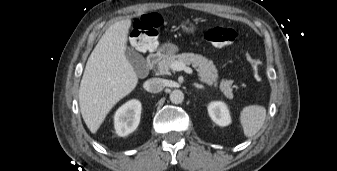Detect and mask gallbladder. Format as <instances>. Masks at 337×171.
<instances>
[{
    "label": "gallbladder",
    "mask_w": 337,
    "mask_h": 171,
    "mask_svg": "<svg viewBox=\"0 0 337 171\" xmlns=\"http://www.w3.org/2000/svg\"><path fill=\"white\" fill-rule=\"evenodd\" d=\"M126 56L137 74H141L145 70L146 62L142 55L133 49H127Z\"/></svg>",
    "instance_id": "bac80fb5"
}]
</instances>
